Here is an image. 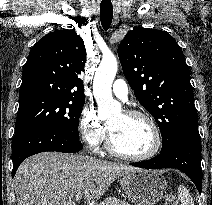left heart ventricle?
Here are the masks:
<instances>
[{
	"label": "left heart ventricle",
	"mask_w": 212,
	"mask_h": 205,
	"mask_svg": "<svg viewBox=\"0 0 212 205\" xmlns=\"http://www.w3.org/2000/svg\"><path fill=\"white\" fill-rule=\"evenodd\" d=\"M108 124L113 143L119 151L135 155L147 151L151 146V131L142 118L119 113Z\"/></svg>",
	"instance_id": "1"
}]
</instances>
